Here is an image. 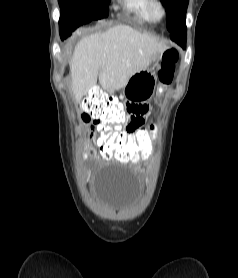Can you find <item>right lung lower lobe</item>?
<instances>
[{"label":"right lung lower lobe","instance_id":"right-lung-lower-lobe-1","mask_svg":"<svg viewBox=\"0 0 238 278\" xmlns=\"http://www.w3.org/2000/svg\"><path fill=\"white\" fill-rule=\"evenodd\" d=\"M84 18L82 13L74 8L61 10L59 28L62 39L71 35L78 26L82 25Z\"/></svg>","mask_w":238,"mask_h":278}]
</instances>
